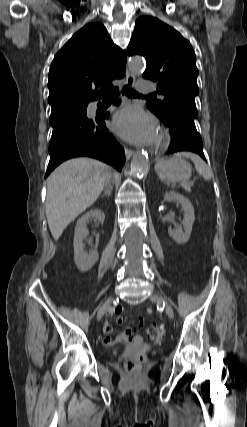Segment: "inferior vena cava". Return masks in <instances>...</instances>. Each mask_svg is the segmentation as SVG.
Listing matches in <instances>:
<instances>
[{
	"mask_svg": "<svg viewBox=\"0 0 247 427\" xmlns=\"http://www.w3.org/2000/svg\"><path fill=\"white\" fill-rule=\"evenodd\" d=\"M111 176L108 177V179L106 180V187L108 188L109 186H111V182H110Z\"/></svg>",
	"mask_w": 247,
	"mask_h": 427,
	"instance_id": "inferior-vena-cava-1",
	"label": "inferior vena cava"
}]
</instances>
